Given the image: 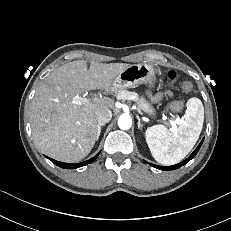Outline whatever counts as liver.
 I'll return each mask as SVG.
<instances>
[{"instance_id": "liver-1", "label": "liver", "mask_w": 231, "mask_h": 231, "mask_svg": "<svg viewBox=\"0 0 231 231\" xmlns=\"http://www.w3.org/2000/svg\"><path fill=\"white\" fill-rule=\"evenodd\" d=\"M126 63L72 61L54 70L37 88L30 106L32 136L39 149L56 160L78 162L92 150L98 135L96 111L112 109L108 97L73 103L85 91H114V80Z\"/></svg>"}]
</instances>
